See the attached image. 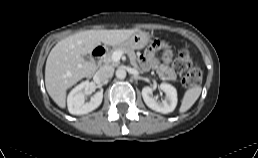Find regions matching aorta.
I'll use <instances>...</instances> for the list:
<instances>
[{"label":"aorta","instance_id":"aorta-1","mask_svg":"<svg viewBox=\"0 0 258 158\" xmlns=\"http://www.w3.org/2000/svg\"><path fill=\"white\" fill-rule=\"evenodd\" d=\"M116 77L118 79H124L126 77V70L124 68H119L116 70Z\"/></svg>","mask_w":258,"mask_h":158}]
</instances>
